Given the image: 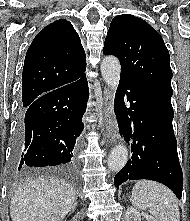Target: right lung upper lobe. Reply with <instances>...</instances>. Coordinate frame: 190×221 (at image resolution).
<instances>
[{
    "instance_id": "cb5924a9",
    "label": "right lung upper lobe",
    "mask_w": 190,
    "mask_h": 221,
    "mask_svg": "<svg viewBox=\"0 0 190 221\" xmlns=\"http://www.w3.org/2000/svg\"><path fill=\"white\" fill-rule=\"evenodd\" d=\"M86 55L71 23L57 20L42 29L28 48L22 74V107L85 75Z\"/></svg>"
}]
</instances>
